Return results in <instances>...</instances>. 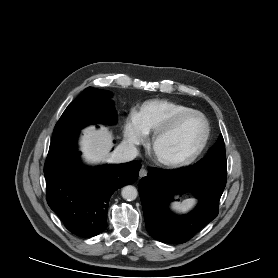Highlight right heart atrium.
Listing matches in <instances>:
<instances>
[{
  "label": "right heart atrium",
  "mask_w": 278,
  "mask_h": 278,
  "mask_svg": "<svg viewBox=\"0 0 278 278\" xmlns=\"http://www.w3.org/2000/svg\"><path fill=\"white\" fill-rule=\"evenodd\" d=\"M123 134L125 140L130 145H139L146 139V133L142 129L136 113L128 114L123 124Z\"/></svg>",
  "instance_id": "right-heart-atrium-1"
}]
</instances>
